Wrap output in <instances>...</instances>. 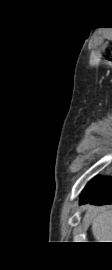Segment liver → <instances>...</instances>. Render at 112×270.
Instances as JSON below:
<instances>
[{
    "instance_id": "liver-1",
    "label": "liver",
    "mask_w": 112,
    "mask_h": 270,
    "mask_svg": "<svg viewBox=\"0 0 112 270\" xmlns=\"http://www.w3.org/2000/svg\"><path fill=\"white\" fill-rule=\"evenodd\" d=\"M91 230L96 242H112V208L101 207L94 210Z\"/></svg>"
}]
</instances>
